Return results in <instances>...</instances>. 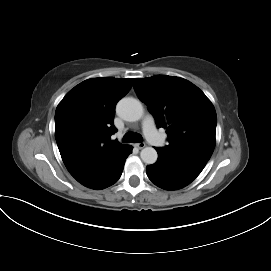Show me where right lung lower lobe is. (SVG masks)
<instances>
[{
    "label": "right lung lower lobe",
    "mask_w": 271,
    "mask_h": 271,
    "mask_svg": "<svg viewBox=\"0 0 271 271\" xmlns=\"http://www.w3.org/2000/svg\"><path fill=\"white\" fill-rule=\"evenodd\" d=\"M132 153V147L127 146L123 153L97 178L84 184L91 189H104L113 185L120 178L126 158Z\"/></svg>",
    "instance_id": "obj_1"
}]
</instances>
